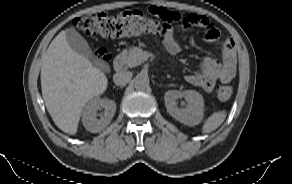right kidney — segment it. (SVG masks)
<instances>
[{
	"instance_id": "obj_1",
	"label": "right kidney",
	"mask_w": 292,
	"mask_h": 184,
	"mask_svg": "<svg viewBox=\"0 0 292 184\" xmlns=\"http://www.w3.org/2000/svg\"><path fill=\"white\" fill-rule=\"evenodd\" d=\"M104 108V113L97 119V111ZM116 112V103L113 100L100 99L99 97L91 99L83 109L82 122L84 127L92 132L102 131L112 120Z\"/></svg>"
}]
</instances>
